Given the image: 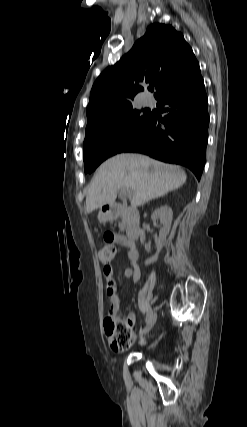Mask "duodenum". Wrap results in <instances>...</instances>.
I'll return each instance as SVG.
<instances>
[{"instance_id":"duodenum-1","label":"duodenum","mask_w":247,"mask_h":427,"mask_svg":"<svg viewBox=\"0 0 247 427\" xmlns=\"http://www.w3.org/2000/svg\"><path fill=\"white\" fill-rule=\"evenodd\" d=\"M105 212L108 217H122L125 222L126 236L125 239L129 244L134 242L140 236V216L137 210L131 207H125L117 202L108 203L105 206Z\"/></svg>"}]
</instances>
